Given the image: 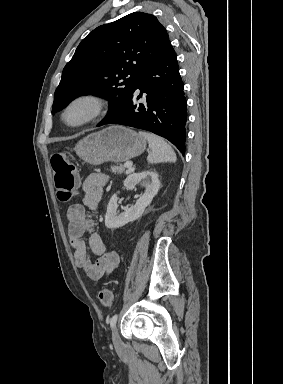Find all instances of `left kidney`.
Masks as SVG:
<instances>
[{
    "label": "left kidney",
    "mask_w": 283,
    "mask_h": 384,
    "mask_svg": "<svg viewBox=\"0 0 283 384\" xmlns=\"http://www.w3.org/2000/svg\"><path fill=\"white\" fill-rule=\"evenodd\" d=\"M136 184H140V186H143L146 190L142 196H139V200H137L135 206H131V208H128V210H125L122 214H119L117 204L119 198H117V194H113L112 198H110L105 216L106 228H122V226H125L128 222L138 220V218L142 216L145 208L151 204L160 188V182L156 172L130 174L124 182L126 190H134Z\"/></svg>",
    "instance_id": "obj_1"
}]
</instances>
